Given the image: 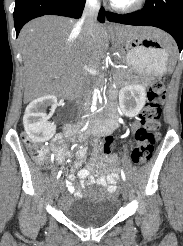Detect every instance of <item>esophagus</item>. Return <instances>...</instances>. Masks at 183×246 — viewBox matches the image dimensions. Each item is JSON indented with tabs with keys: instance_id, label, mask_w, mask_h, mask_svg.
<instances>
[{
	"instance_id": "34e87169",
	"label": "esophagus",
	"mask_w": 183,
	"mask_h": 246,
	"mask_svg": "<svg viewBox=\"0 0 183 246\" xmlns=\"http://www.w3.org/2000/svg\"><path fill=\"white\" fill-rule=\"evenodd\" d=\"M106 24L109 25V21L108 20H106Z\"/></svg>"
}]
</instances>
